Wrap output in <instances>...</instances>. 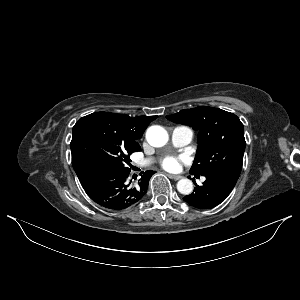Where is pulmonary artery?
I'll use <instances>...</instances> for the list:
<instances>
[{
  "instance_id": "1",
  "label": "pulmonary artery",
  "mask_w": 300,
  "mask_h": 300,
  "mask_svg": "<svg viewBox=\"0 0 300 300\" xmlns=\"http://www.w3.org/2000/svg\"><path fill=\"white\" fill-rule=\"evenodd\" d=\"M193 139V131L187 126H177L171 131V141L175 146L181 147L189 144ZM149 160H143L138 163L139 166H146ZM204 180V178H203Z\"/></svg>"
}]
</instances>
